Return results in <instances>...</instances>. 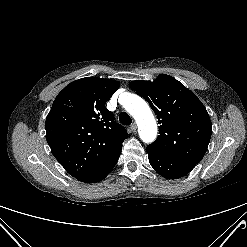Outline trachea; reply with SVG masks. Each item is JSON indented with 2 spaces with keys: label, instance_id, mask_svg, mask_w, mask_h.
<instances>
[{
  "label": "trachea",
  "instance_id": "3493384b",
  "mask_svg": "<svg viewBox=\"0 0 247 247\" xmlns=\"http://www.w3.org/2000/svg\"><path fill=\"white\" fill-rule=\"evenodd\" d=\"M119 121L124 125H130L132 123L131 117L125 112L119 115Z\"/></svg>",
  "mask_w": 247,
  "mask_h": 247
}]
</instances>
